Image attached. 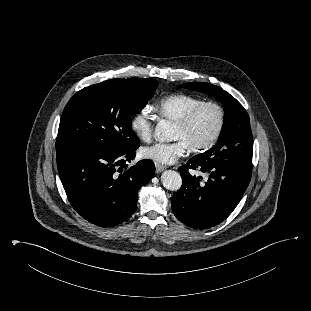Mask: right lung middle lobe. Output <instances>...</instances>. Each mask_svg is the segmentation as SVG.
I'll use <instances>...</instances> for the list:
<instances>
[{
  "label": "right lung middle lobe",
  "instance_id": "right-lung-middle-lobe-1",
  "mask_svg": "<svg viewBox=\"0 0 311 311\" xmlns=\"http://www.w3.org/2000/svg\"><path fill=\"white\" fill-rule=\"evenodd\" d=\"M158 85L153 79H113L78 91L63 111L56 153L124 154L136 150L139 139L130 117L145 107Z\"/></svg>",
  "mask_w": 311,
  "mask_h": 311
}]
</instances>
